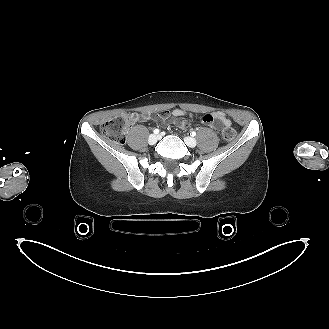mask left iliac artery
I'll list each match as a JSON object with an SVG mask.
<instances>
[{
  "label": "left iliac artery",
  "mask_w": 329,
  "mask_h": 329,
  "mask_svg": "<svg viewBox=\"0 0 329 329\" xmlns=\"http://www.w3.org/2000/svg\"><path fill=\"white\" fill-rule=\"evenodd\" d=\"M190 135L194 137V136H196V132L192 131Z\"/></svg>",
  "instance_id": "1"
}]
</instances>
